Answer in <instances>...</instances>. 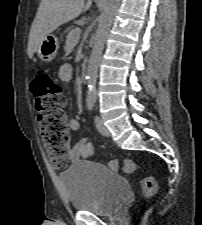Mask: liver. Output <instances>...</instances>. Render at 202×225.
<instances>
[{"label": "liver", "instance_id": "liver-1", "mask_svg": "<svg viewBox=\"0 0 202 225\" xmlns=\"http://www.w3.org/2000/svg\"><path fill=\"white\" fill-rule=\"evenodd\" d=\"M42 0L30 29L27 53L32 58L45 36L87 11L92 0Z\"/></svg>", "mask_w": 202, "mask_h": 225}]
</instances>
